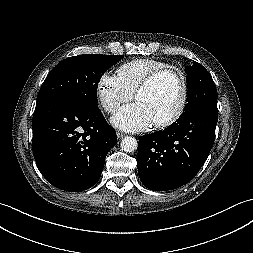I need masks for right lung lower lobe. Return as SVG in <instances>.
<instances>
[{
  "instance_id": "1",
  "label": "right lung lower lobe",
  "mask_w": 253,
  "mask_h": 253,
  "mask_svg": "<svg viewBox=\"0 0 253 253\" xmlns=\"http://www.w3.org/2000/svg\"><path fill=\"white\" fill-rule=\"evenodd\" d=\"M33 155L53 186L70 192L87 190L100 178L117 136L99 108L48 100L36 105L32 121Z\"/></svg>"
}]
</instances>
